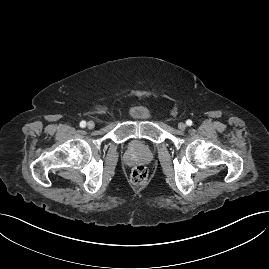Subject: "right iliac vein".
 Here are the masks:
<instances>
[{"label": "right iliac vein", "mask_w": 269, "mask_h": 269, "mask_svg": "<svg viewBox=\"0 0 269 269\" xmlns=\"http://www.w3.org/2000/svg\"><path fill=\"white\" fill-rule=\"evenodd\" d=\"M94 126H95L94 121H89V122L87 123V127H88V129H93Z\"/></svg>", "instance_id": "63e3f726"}]
</instances>
